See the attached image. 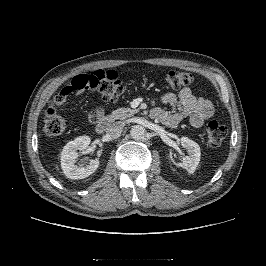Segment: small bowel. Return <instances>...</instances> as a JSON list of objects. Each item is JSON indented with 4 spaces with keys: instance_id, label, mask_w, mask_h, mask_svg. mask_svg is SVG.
I'll use <instances>...</instances> for the list:
<instances>
[{
    "instance_id": "1",
    "label": "small bowel",
    "mask_w": 266,
    "mask_h": 266,
    "mask_svg": "<svg viewBox=\"0 0 266 266\" xmlns=\"http://www.w3.org/2000/svg\"><path fill=\"white\" fill-rule=\"evenodd\" d=\"M162 101L164 104L176 106L178 109V112L174 114L159 109L165 115L161 122L170 128L177 127L186 118L189 119L192 127L200 128L204 122L214 114L213 104L202 96L194 95L189 87L183 88L177 95L174 93H166L162 97ZM99 110L100 109H93L90 111V121L91 114L97 113Z\"/></svg>"
}]
</instances>
